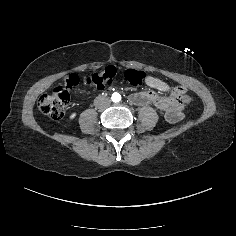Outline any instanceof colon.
<instances>
[{
  "mask_svg": "<svg viewBox=\"0 0 236 236\" xmlns=\"http://www.w3.org/2000/svg\"><path fill=\"white\" fill-rule=\"evenodd\" d=\"M117 74L113 66H108L102 71L89 74L85 77V82L99 90L104 89L111 84ZM126 79L134 86L142 84L145 75L142 71L128 69L125 73ZM81 82V77L75 73L69 74L64 78V84L56 87L52 93L43 94L38 100V108L41 113L55 120L64 116L66 106L69 102V90L76 87ZM176 96L181 104L189 105L192 103V97L184 88L176 89Z\"/></svg>",
  "mask_w": 236,
  "mask_h": 236,
  "instance_id": "colon-1",
  "label": "colon"
}]
</instances>
